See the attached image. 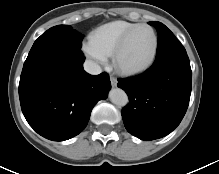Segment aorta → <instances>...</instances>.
<instances>
[{
    "label": "aorta",
    "mask_w": 219,
    "mask_h": 174,
    "mask_svg": "<svg viewBox=\"0 0 219 174\" xmlns=\"http://www.w3.org/2000/svg\"><path fill=\"white\" fill-rule=\"evenodd\" d=\"M109 98L111 102L117 106H125L128 104V96L124 90L120 88H113L109 92Z\"/></svg>",
    "instance_id": "obj_1"
}]
</instances>
